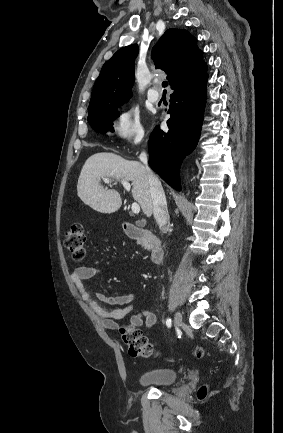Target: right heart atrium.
<instances>
[{"label":"right heart atrium","mask_w":283,"mask_h":433,"mask_svg":"<svg viewBox=\"0 0 283 433\" xmlns=\"http://www.w3.org/2000/svg\"><path fill=\"white\" fill-rule=\"evenodd\" d=\"M111 128L113 135L124 148H136L146 142V131L137 106L124 107L112 121Z\"/></svg>","instance_id":"right-heart-atrium-1"}]
</instances>
